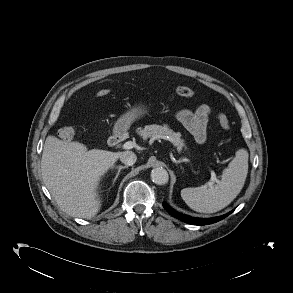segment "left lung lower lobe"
<instances>
[{
    "instance_id": "1",
    "label": "left lung lower lobe",
    "mask_w": 293,
    "mask_h": 293,
    "mask_svg": "<svg viewBox=\"0 0 293 293\" xmlns=\"http://www.w3.org/2000/svg\"><path fill=\"white\" fill-rule=\"evenodd\" d=\"M163 207L174 217L182 220L185 223H189V224H193V225H207V224H212L215 222H218L222 219H224L225 217H227L230 213H227L223 216H218V217H214V218H207V219H201V218H194V217H190L187 215H183L178 213L177 211L173 210L171 207H169L166 203H163Z\"/></svg>"
}]
</instances>
